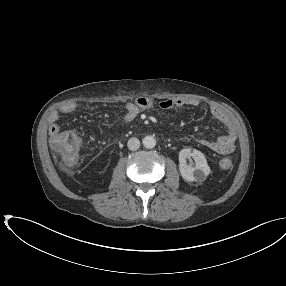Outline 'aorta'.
Segmentation results:
<instances>
[{
    "label": "aorta",
    "instance_id": "1",
    "mask_svg": "<svg viewBox=\"0 0 286 286\" xmlns=\"http://www.w3.org/2000/svg\"><path fill=\"white\" fill-rule=\"evenodd\" d=\"M142 143L145 148L152 149L156 145V140L153 136H145L142 140Z\"/></svg>",
    "mask_w": 286,
    "mask_h": 286
}]
</instances>
